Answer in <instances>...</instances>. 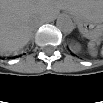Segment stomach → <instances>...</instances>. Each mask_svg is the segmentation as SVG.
<instances>
[{
  "mask_svg": "<svg viewBox=\"0 0 103 103\" xmlns=\"http://www.w3.org/2000/svg\"><path fill=\"white\" fill-rule=\"evenodd\" d=\"M70 14L80 33L88 39H97L103 31V3L100 0H76Z\"/></svg>",
  "mask_w": 103,
  "mask_h": 103,
  "instance_id": "obj_1",
  "label": "stomach"
}]
</instances>
